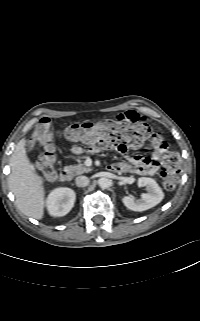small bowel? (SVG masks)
<instances>
[{"label": "small bowel", "mask_w": 200, "mask_h": 321, "mask_svg": "<svg viewBox=\"0 0 200 321\" xmlns=\"http://www.w3.org/2000/svg\"><path fill=\"white\" fill-rule=\"evenodd\" d=\"M121 116L125 118H137L138 114L134 111H127ZM75 152H80L79 148L75 149ZM164 152L165 147L155 148L151 157L148 156H129L126 152H123L129 159L130 163H118L110 167L114 172L121 173H134L141 176L155 175L161 165H164Z\"/></svg>", "instance_id": "small-bowel-1"}]
</instances>
